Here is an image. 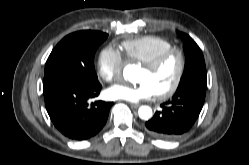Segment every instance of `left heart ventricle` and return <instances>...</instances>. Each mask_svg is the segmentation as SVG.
<instances>
[{
    "instance_id": "b2bd125f",
    "label": "left heart ventricle",
    "mask_w": 249,
    "mask_h": 165,
    "mask_svg": "<svg viewBox=\"0 0 249 165\" xmlns=\"http://www.w3.org/2000/svg\"><path fill=\"white\" fill-rule=\"evenodd\" d=\"M178 62L176 57L170 58L158 71L149 72L141 67L136 73V80L148 82L155 93L170 86L176 74Z\"/></svg>"
}]
</instances>
